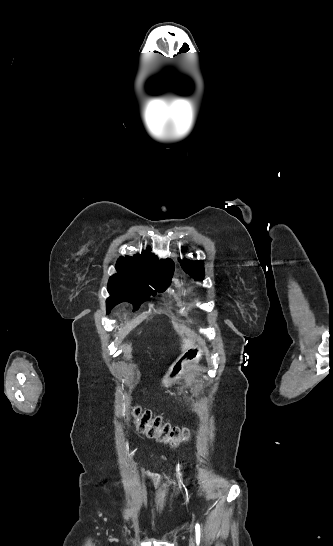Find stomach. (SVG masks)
Wrapping results in <instances>:
<instances>
[{"label":"stomach","instance_id":"obj_1","mask_svg":"<svg viewBox=\"0 0 333 546\" xmlns=\"http://www.w3.org/2000/svg\"><path fill=\"white\" fill-rule=\"evenodd\" d=\"M206 352L207 349L203 344L192 345L170 366L168 372L162 378V385L169 387L179 381L187 368L197 364Z\"/></svg>","mask_w":333,"mask_h":546}]
</instances>
